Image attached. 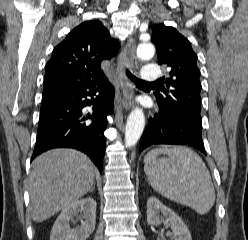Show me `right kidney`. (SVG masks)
<instances>
[{
  "mask_svg": "<svg viewBox=\"0 0 248 240\" xmlns=\"http://www.w3.org/2000/svg\"><path fill=\"white\" fill-rule=\"evenodd\" d=\"M80 213L81 225L70 227L74 217ZM96 201L87 197L72 202L57 217L50 234V240H86L95 229Z\"/></svg>",
  "mask_w": 248,
  "mask_h": 240,
  "instance_id": "right-kidney-1",
  "label": "right kidney"
}]
</instances>
